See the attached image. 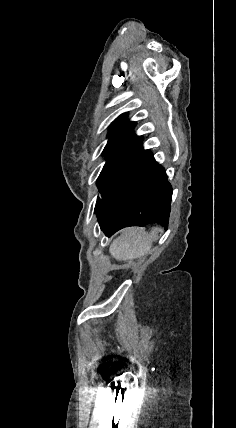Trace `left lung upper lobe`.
Segmentation results:
<instances>
[{
  "mask_svg": "<svg viewBox=\"0 0 236 428\" xmlns=\"http://www.w3.org/2000/svg\"><path fill=\"white\" fill-rule=\"evenodd\" d=\"M134 126L135 122L127 120V113L112 122L103 151L106 163L97 179L100 193L109 192L140 154L142 137L133 133Z\"/></svg>",
  "mask_w": 236,
  "mask_h": 428,
  "instance_id": "left-lung-upper-lobe-1",
  "label": "left lung upper lobe"
}]
</instances>
